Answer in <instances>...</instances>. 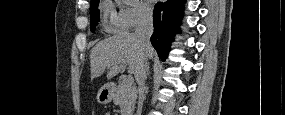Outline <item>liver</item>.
Listing matches in <instances>:
<instances>
[{
  "mask_svg": "<svg viewBox=\"0 0 285 115\" xmlns=\"http://www.w3.org/2000/svg\"><path fill=\"white\" fill-rule=\"evenodd\" d=\"M154 54L152 47L148 50V58ZM143 51L141 44L135 38L134 34L129 32H120L112 37L97 43L90 54L91 78L101 76L105 69L107 79L117 75L123 68L122 63L128 65L130 74L136 73L142 61Z\"/></svg>",
  "mask_w": 285,
  "mask_h": 115,
  "instance_id": "1",
  "label": "liver"
}]
</instances>
